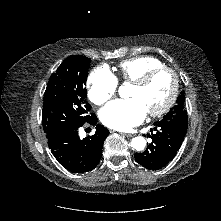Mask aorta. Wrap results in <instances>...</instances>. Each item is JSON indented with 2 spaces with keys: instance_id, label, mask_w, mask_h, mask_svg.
Returning a JSON list of instances; mask_svg holds the SVG:
<instances>
[{
  "instance_id": "762f6f07",
  "label": "aorta",
  "mask_w": 221,
  "mask_h": 221,
  "mask_svg": "<svg viewBox=\"0 0 221 221\" xmlns=\"http://www.w3.org/2000/svg\"><path fill=\"white\" fill-rule=\"evenodd\" d=\"M131 146L136 151H142L146 146V140L142 136L134 137L131 141Z\"/></svg>"
}]
</instances>
